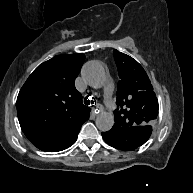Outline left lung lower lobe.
Listing matches in <instances>:
<instances>
[{
	"label": "left lung lower lobe",
	"instance_id": "obj_1",
	"mask_svg": "<svg viewBox=\"0 0 193 193\" xmlns=\"http://www.w3.org/2000/svg\"><path fill=\"white\" fill-rule=\"evenodd\" d=\"M152 127L143 126L138 130L113 126L110 131L103 132V139L111 146L120 150H133L144 144L150 137Z\"/></svg>",
	"mask_w": 193,
	"mask_h": 193
}]
</instances>
